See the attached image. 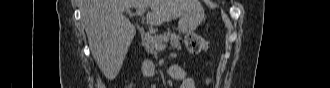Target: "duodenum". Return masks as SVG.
I'll return each instance as SVG.
<instances>
[{"mask_svg": "<svg viewBox=\"0 0 330 88\" xmlns=\"http://www.w3.org/2000/svg\"><path fill=\"white\" fill-rule=\"evenodd\" d=\"M141 68L143 73L147 76H158L163 72L152 62H144Z\"/></svg>", "mask_w": 330, "mask_h": 88, "instance_id": "obj_1", "label": "duodenum"}]
</instances>
